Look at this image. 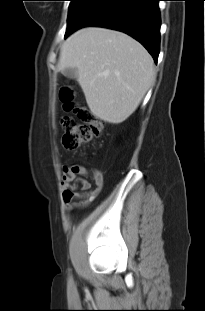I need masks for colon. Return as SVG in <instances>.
Returning <instances> with one entry per match:
<instances>
[{"label":"colon","instance_id":"1","mask_svg":"<svg viewBox=\"0 0 205 311\" xmlns=\"http://www.w3.org/2000/svg\"><path fill=\"white\" fill-rule=\"evenodd\" d=\"M59 97L64 109L73 112L79 120L76 121L72 117H64L62 120L64 128L62 143L65 149L78 150L92 139L102 135L103 123L88 109L74 102V91L70 87H63Z\"/></svg>","mask_w":205,"mask_h":311}]
</instances>
